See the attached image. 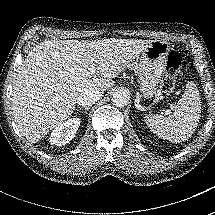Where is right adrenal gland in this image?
<instances>
[{
    "instance_id": "1",
    "label": "right adrenal gland",
    "mask_w": 215,
    "mask_h": 215,
    "mask_svg": "<svg viewBox=\"0 0 215 215\" xmlns=\"http://www.w3.org/2000/svg\"><path fill=\"white\" fill-rule=\"evenodd\" d=\"M78 108H79V110H80L82 113L84 112L85 114H87V111H88L91 107H85V108H84L85 111H83L82 107H78Z\"/></svg>"
}]
</instances>
